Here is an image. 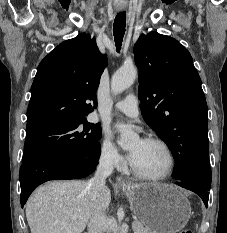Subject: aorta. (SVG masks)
I'll return each instance as SVG.
<instances>
[{"label": "aorta", "mask_w": 227, "mask_h": 233, "mask_svg": "<svg viewBox=\"0 0 227 233\" xmlns=\"http://www.w3.org/2000/svg\"><path fill=\"white\" fill-rule=\"evenodd\" d=\"M137 77V70L134 67H127L119 69L111 79V90L114 94H118L129 88ZM116 128L120 132L119 144L122 147L128 146V144L134 140L136 133L123 123L116 125Z\"/></svg>", "instance_id": "obj_1"}]
</instances>
